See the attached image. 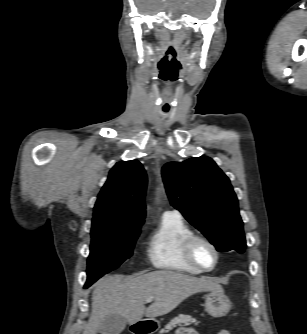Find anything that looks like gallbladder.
I'll use <instances>...</instances> for the list:
<instances>
[{
  "label": "gallbladder",
  "instance_id": "gallbladder-1",
  "mask_svg": "<svg viewBox=\"0 0 307 334\" xmlns=\"http://www.w3.org/2000/svg\"><path fill=\"white\" fill-rule=\"evenodd\" d=\"M127 325V319L119 314L108 315L99 325L100 334H120Z\"/></svg>",
  "mask_w": 307,
  "mask_h": 334
}]
</instances>
